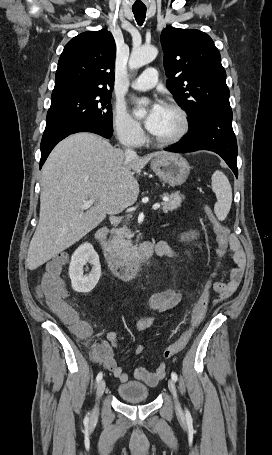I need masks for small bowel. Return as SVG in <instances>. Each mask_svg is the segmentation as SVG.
<instances>
[{
    "mask_svg": "<svg viewBox=\"0 0 272 455\" xmlns=\"http://www.w3.org/2000/svg\"><path fill=\"white\" fill-rule=\"evenodd\" d=\"M194 235L186 234L183 236V240H188ZM155 246L156 254L159 256H166L170 258L177 257V253L165 242H159ZM229 249L232 253V258L235 263V267L231 269L229 279L226 282L216 281L213 282V290L219 295V301L229 298L238 288L243 277L244 268L246 265V255L242 249V246L235 235H231L228 241ZM182 299V292L176 290H163L155 293L148 300V310L152 312L156 311H167L175 308ZM152 322L150 315L144 317L140 322L138 328L143 330L147 328ZM108 343H102L93 353L96 361L103 364V366L109 370L115 378L120 382L124 383L128 381V375L118 365L114 354V347L118 345V336L114 332L107 334ZM142 352V347L137 345L133 348V354H139ZM166 375L165 366L159 364L155 371L151 372L146 368L139 366L134 370V377L140 382L147 385L154 386Z\"/></svg>",
    "mask_w": 272,
    "mask_h": 455,
    "instance_id": "small-bowel-1",
    "label": "small bowel"
}]
</instances>
